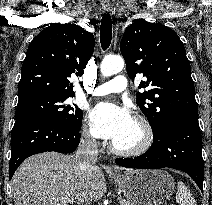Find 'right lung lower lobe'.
Segmentation results:
<instances>
[{
  "label": "right lung lower lobe",
  "mask_w": 212,
  "mask_h": 205,
  "mask_svg": "<svg viewBox=\"0 0 212 205\" xmlns=\"http://www.w3.org/2000/svg\"><path fill=\"white\" fill-rule=\"evenodd\" d=\"M79 130L46 116L17 119L12 133L9 179L31 155L48 151L74 152L80 142Z\"/></svg>",
  "instance_id": "obj_1"
}]
</instances>
